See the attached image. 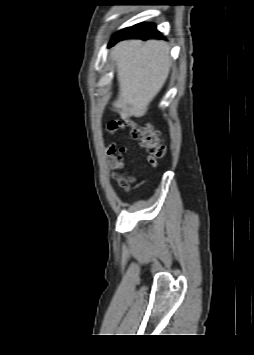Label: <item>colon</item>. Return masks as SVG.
I'll return each mask as SVG.
<instances>
[{
    "instance_id": "obj_1",
    "label": "colon",
    "mask_w": 254,
    "mask_h": 355,
    "mask_svg": "<svg viewBox=\"0 0 254 355\" xmlns=\"http://www.w3.org/2000/svg\"><path fill=\"white\" fill-rule=\"evenodd\" d=\"M114 123H110L112 126ZM122 125L130 129L133 140L140 143L148 153V157L162 158L166 154V147L161 142L159 133L149 125H142L131 120H123Z\"/></svg>"
}]
</instances>
